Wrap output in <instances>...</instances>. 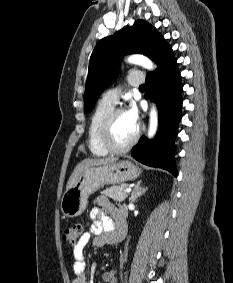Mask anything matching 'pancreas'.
Segmentation results:
<instances>
[{
    "label": "pancreas",
    "instance_id": "cf45deb5",
    "mask_svg": "<svg viewBox=\"0 0 233 283\" xmlns=\"http://www.w3.org/2000/svg\"><path fill=\"white\" fill-rule=\"evenodd\" d=\"M126 188H127V184L124 183L120 185H114L101 191V194L104 196H108L109 198L115 201L122 202L128 196V193L124 192Z\"/></svg>",
    "mask_w": 233,
    "mask_h": 283
}]
</instances>
